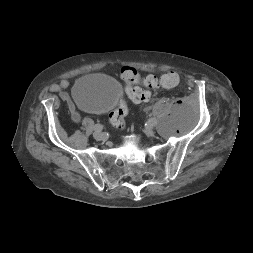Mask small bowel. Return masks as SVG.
<instances>
[{"instance_id": "obj_1", "label": "small bowel", "mask_w": 253, "mask_h": 253, "mask_svg": "<svg viewBox=\"0 0 253 253\" xmlns=\"http://www.w3.org/2000/svg\"><path fill=\"white\" fill-rule=\"evenodd\" d=\"M68 85H69L68 80H62L61 83H60V86L63 87V88L68 87ZM73 119H74V121L78 122L80 120V116L77 113H74L73 114Z\"/></svg>"}]
</instances>
